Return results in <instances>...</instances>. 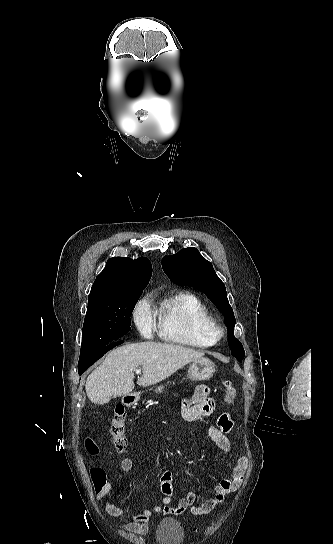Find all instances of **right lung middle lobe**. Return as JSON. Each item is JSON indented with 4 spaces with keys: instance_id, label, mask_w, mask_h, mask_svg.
I'll list each match as a JSON object with an SVG mask.
<instances>
[{
    "instance_id": "1",
    "label": "right lung middle lobe",
    "mask_w": 333,
    "mask_h": 544,
    "mask_svg": "<svg viewBox=\"0 0 333 544\" xmlns=\"http://www.w3.org/2000/svg\"><path fill=\"white\" fill-rule=\"evenodd\" d=\"M142 291L88 302L78 368L107 352L130 331V316Z\"/></svg>"
}]
</instances>
